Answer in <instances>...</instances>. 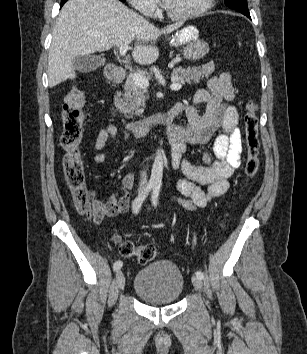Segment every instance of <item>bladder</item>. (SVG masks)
Segmentation results:
<instances>
[{
  "label": "bladder",
  "mask_w": 307,
  "mask_h": 354,
  "mask_svg": "<svg viewBox=\"0 0 307 354\" xmlns=\"http://www.w3.org/2000/svg\"><path fill=\"white\" fill-rule=\"evenodd\" d=\"M134 291L152 305L176 302L184 289V277L171 261L158 260L141 268L134 278Z\"/></svg>",
  "instance_id": "bladder-1"
}]
</instances>
